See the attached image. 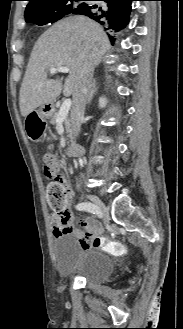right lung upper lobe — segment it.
Instances as JSON below:
<instances>
[{
    "label": "right lung upper lobe",
    "mask_w": 183,
    "mask_h": 329,
    "mask_svg": "<svg viewBox=\"0 0 183 329\" xmlns=\"http://www.w3.org/2000/svg\"><path fill=\"white\" fill-rule=\"evenodd\" d=\"M29 3L25 9V20L31 18L41 19L47 15L55 4L66 0H28Z\"/></svg>",
    "instance_id": "right-lung-upper-lobe-1"
}]
</instances>
